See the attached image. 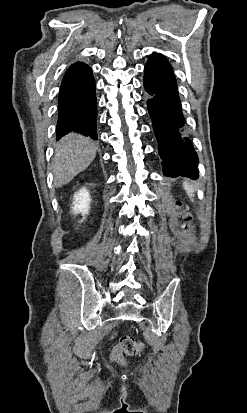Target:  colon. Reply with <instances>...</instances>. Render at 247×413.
Listing matches in <instances>:
<instances>
[{
    "label": "colon",
    "instance_id": "5ec220e1",
    "mask_svg": "<svg viewBox=\"0 0 247 413\" xmlns=\"http://www.w3.org/2000/svg\"><path fill=\"white\" fill-rule=\"evenodd\" d=\"M177 204L184 213L185 221H191L189 214H187L185 210V207L179 202ZM112 348L113 351L111 352V359L116 362H121L123 355H145L147 352V349L145 346H143V343L129 336L122 337L120 339V342H114Z\"/></svg>",
    "mask_w": 247,
    "mask_h": 413
}]
</instances>
